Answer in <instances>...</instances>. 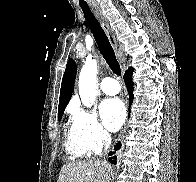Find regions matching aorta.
<instances>
[{
  "instance_id": "aorta-1",
  "label": "aorta",
  "mask_w": 196,
  "mask_h": 182,
  "mask_svg": "<svg viewBox=\"0 0 196 182\" xmlns=\"http://www.w3.org/2000/svg\"><path fill=\"white\" fill-rule=\"evenodd\" d=\"M79 94L82 104L91 107L97 94V61L87 57L79 75Z\"/></svg>"
}]
</instances>
